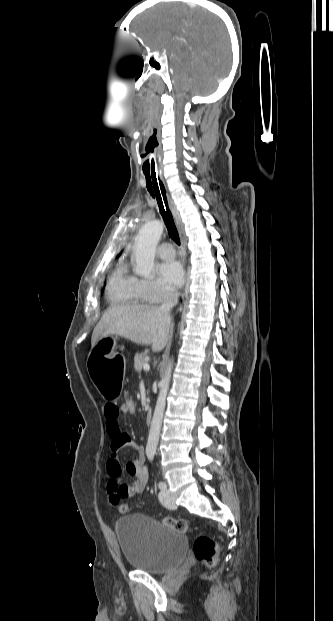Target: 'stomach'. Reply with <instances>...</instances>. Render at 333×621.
<instances>
[{"instance_id":"stomach-1","label":"stomach","mask_w":333,"mask_h":621,"mask_svg":"<svg viewBox=\"0 0 333 621\" xmlns=\"http://www.w3.org/2000/svg\"><path fill=\"white\" fill-rule=\"evenodd\" d=\"M127 357L124 345L116 337L100 338L87 355V366L91 379L103 399L114 397L117 402L125 389L123 380Z\"/></svg>"}]
</instances>
